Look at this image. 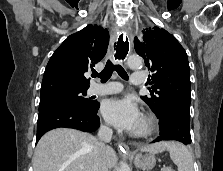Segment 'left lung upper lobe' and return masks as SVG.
Returning a JSON list of instances; mask_svg holds the SVG:
<instances>
[{"mask_svg": "<svg viewBox=\"0 0 223 171\" xmlns=\"http://www.w3.org/2000/svg\"><path fill=\"white\" fill-rule=\"evenodd\" d=\"M136 52L153 74L150 96H141L159 118L171 106L190 113V67L187 54L177 39L164 29L153 27L134 40Z\"/></svg>", "mask_w": 223, "mask_h": 171, "instance_id": "5c2ea615", "label": "left lung upper lobe"}]
</instances>
